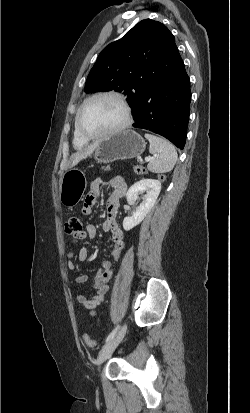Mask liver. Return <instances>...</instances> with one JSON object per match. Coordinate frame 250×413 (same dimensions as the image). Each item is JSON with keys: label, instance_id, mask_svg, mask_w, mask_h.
<instances>
[{"label": "liver", "instance_id": "1", "mask_svg": "<svg viewBox=\"0 0 250 413\" xmlns=\"http://www.w3.org/2000/svg\"><path fill=\"white\" fill-rule=\"evenodd\" d=\"M99 144V141H95L94 143H92L91 145H89L87 148L80 150L78 152H76L72 157H71V167H74L75 165H77L81 160L87 158L88 156H90L95 149L97 148Z\"/></svg>", "mask_w": 250, "mask_h": 413}]
</instances>
